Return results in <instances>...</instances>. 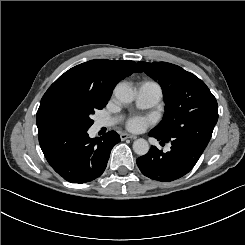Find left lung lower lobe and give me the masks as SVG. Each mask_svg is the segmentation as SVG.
<instances>
[{
  "instance_id": "obj_1",
  "label": "left lung lower lobe",
  "mask_w": 245,
  "mask_h": 245,
  "mask_svg": "<svg viewBox=\"0 0 245 245\" xmlns=\"http://www.w3.org/2000/svg\"><path fill=\"white\" fill-rule=\"evenodd\" d=\"M149 135L159 140L160 144L171 142L169 152L163 153L153 146L146 155L136 160L145 176L161 182H171L189 173L210 140L186 134L164 137L153 129Z\"/></svg>"
}]
</instances>
